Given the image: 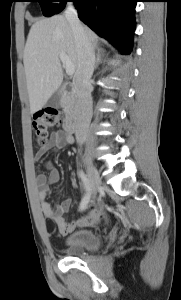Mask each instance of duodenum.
Returning <instances> with one entry per match:
<instances>
[{
  "label": "duodenum",
  "instance_id": "410a0bca",
  "mask_svg": "<svg viewBox=\"0 0 181 300\" xmlns=\"http://www.w3.org/2000/svg\"><path fill=\"white\" fill-rule=\"evenodd\" d=\"M64 90L68 96L74 99L73 102L71 103L70 114L67 118L66 125H65L66 131L68 133H74L77 131V129L83 122L86 113V108L85 106L75 101L77 95L71 83H67L64 87Z\"/></svg>",
  "mask_w": 181,
  "mask_h": 300
}]
</instances>
